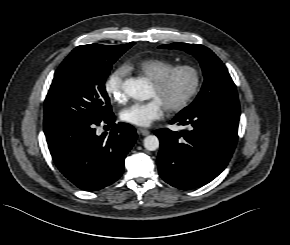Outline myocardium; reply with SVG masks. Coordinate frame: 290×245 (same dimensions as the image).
<instances>
[{
	"label": "myocardium",
	"instance_id": "1",
	"mask_svg": "<svg viewBox=\"0 0 290 245\" xmlns=\"http://www.w3.org/2000/svg\"><path fill=\"white\" fill-rule=\"evenodd\" d=\"M182 71L190 72L193 75V84L189 91L182 97L178 102L168 106L166 110L169 112H179L186 108L198 94L201 84H202V74L201 71L193 65H176L171 67L160 77L152 81L153 86L161 91L167 87L172 77Z\"/></svg>",
	"mask_w": 290,
	"mask_h": 245
}]
</instances>
